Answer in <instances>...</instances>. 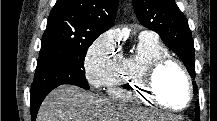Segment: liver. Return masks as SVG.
Listing matches in <instances>:
<instances>
[{"label":"liver","instance_id":"liver-1","mask_svg":"<svg viewBox=\"0 0 217 121\" xmlns=\"http://www.w3.org/2000/svg\"><path fill=\"white\" fill-rule=\"evenodd\" d=\"M141 110L124 103L100 97L76 86L62 85L45 98L37 121H137ZM152 121H171L172 116L158 114Z\"/></svg>","mask_w":217,"mask_h":121}]
</instances>
